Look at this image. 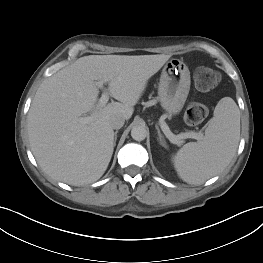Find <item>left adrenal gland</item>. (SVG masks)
<instances>
[{
	"instance_id": "a2214340",
	"label": "left adrenal gland",
	"mask_w": 263,
	"mask_h": 263,
	"mask_svg": "<svg viewBox=\"0 0 263 263\" xmlns=\"http://www.w3.org/2000/svg\"><path fill=\"white\" fill-rule=\"evenodd\" d=\"M155 127H156V130H157V133H158V139L160 141V144L162 146H164L165 145V140H164V138H163V136H162V134L160 132V129H159V127L157 125Z\"/></svg>"
}]
</instances>
